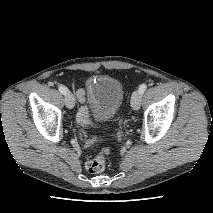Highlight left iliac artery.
<instances>
[{
	"mask_svg": "<svg viewBox=\"0 0 213 213\" xmlns=\"http://www.w3.org/2000/svg\"><path fill=\"white\" fill-rule=\"evenodd\" d=\"M146 89H147V85H146V84H142V85H140V87H139V92H140L141 94H143V93L145 92Z\"/></svg>",
	"mask_w": 213,
	"mask_h": 213,
	"instance_id": "obj_1",
	"label": "left iliac artery"
}]
</instances>
